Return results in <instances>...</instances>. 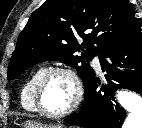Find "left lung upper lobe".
Segmentation results:
<instances>
[{
  "mask_svg": "<svg viewBox=\"0 0 142 128\" xmlns=\"http://www.w3.org/2000/svg\"><path fill=\"white\" fill-rule=\"evenodd\" d=\"M137 27L128 0H46L18 37L8 78L39 62L61 61L76 68L85 88L95 74L87 61Z\"/></svg>",
  "mask_w": 142,
  "mask_h": 128,
  "instance_id": "obj_1",
  "label": "left lung upper lobe"
}]
</instances>
